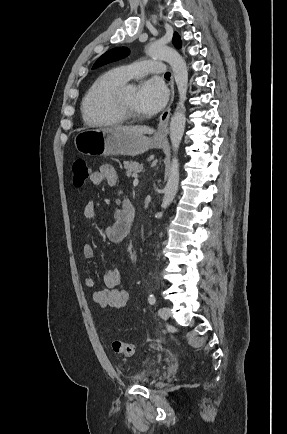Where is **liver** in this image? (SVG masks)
<instances>
[{"instance_id": "6515ba94", "label": "liver", "mask_w": 287, "mask_h": 434, "mask_svg": "<svg viewBox=\"0 0 287 434\" xmlns=\"http://www.w3.org/2000/svg\"><path fill=\"white\" fill-rule=\"evenodd\" d=\"M114 128L133 134H151L153 132L152 129L146 126H126V127L116 126Z\"/></svg>"}]
</instances>
